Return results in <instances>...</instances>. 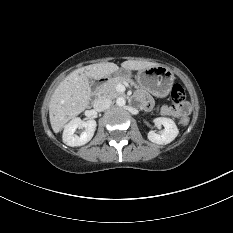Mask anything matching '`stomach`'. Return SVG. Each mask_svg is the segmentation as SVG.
Masks as SVG:
<instances>
[{
    "label": "stomach",
    "mask_w": 233,
    "mask_h": 233,
    "mask_svg": "<svg viewBox=\"0 0 233 233\" xmlns=\"http://www.w3.org/2000/svg\"><path fill=\"white\" fill-rule=\"evenodd\" d=\"M129 76V70L121 69L113 75H108L106 78ZM174 79V73L167 67L161 65L146 68L137 74L139 85L158 98H164L170 93Z\"/></svg>",
    "instance_id": "0dacf381"
}]
</instances>
